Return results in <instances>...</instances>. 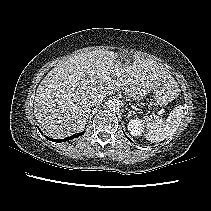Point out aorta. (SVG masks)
Wrapping results in <instances>:
<instances>
[{
  "mask_svg": "<svg viewBox=\"0 0 211 211\" xmlns=\"http://www.w3.org/2000/svg\"><path fill=\"white\" fill-rule=\"evenodd\" d=\"M107 107H108L109 110H111V111H116V110H119L120 103H119L118 100L113 99V100H110V101L108 102Z\"/></svg>",
  "mask_w": 211,
  "mask_h": 211,
  "instance_id": "aorta-1",
  "label": "aorta"
}]
</instances>
